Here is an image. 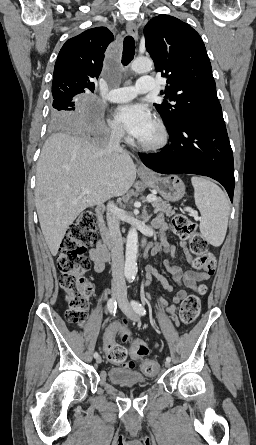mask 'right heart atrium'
Instances as JSON below:
<instances>
[{
	"label": "right heart atrium",
	"mask_w": 256,
	"mask_h": 445,
	"mask_svg": "<svg viewBox=\"0 0 256 445\" xmlns=\"http://www.w3.org/2000/svg\"><path fill=\"white\" fill-rule=\"evenodd\" d=\"M109 135L114 139H121L124 136L122 128L114 121H108Z\"/></svg>",
	"instance_id": "d8ad5b80"
}]
</instances>
